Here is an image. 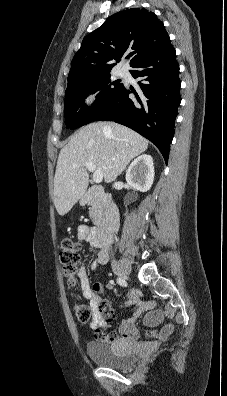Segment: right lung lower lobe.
Returning <instances> with one entry per match:
<instances>
[{"instance_id": "right-lung-lower-lobe-1", "label": "right lung lower lobe", "mask_w": 227, "mask_h": 396, "mask_svg": "<svg viewBox=\"0 0 227 396\" xmlns=\"http://www.w3.org/2000/svg\"><path fill=\"white\" fill-rule=\"evenodd\" d=\"M131 67L132 76L140 79L138 94L132 90L137 100L129 99L131 91L123 86L93 121L113 120L135 130L157 146L167 163L181 102L175 49L169 41Z\"/></svg>"}]
</instances>
